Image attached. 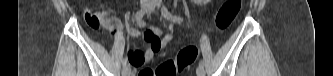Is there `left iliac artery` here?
<instances>
[{
  "label": "left iliac artery",
  "mask_w": 333,
  "mask_h": 76,
  "mask_svg": "<svg viewBox=\"0 0 333 76\" xmlns=\"http://www.w3.org/2000/svg\"><path fill=\"white\" fill-rule=\"evenodd\" d=\"M161 12H162V15L168 20H171L173 22H178V23H181L183 21L182 17L173 15L172 13H170L168 11V9L165 6H162ZM199 66L204 67V62L202 60L199 62Z\"/></svg>",
  "instance_id": "44dca946"
}]
</instances>
